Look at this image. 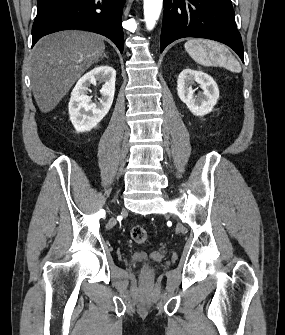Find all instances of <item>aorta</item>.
I'll return each instance as SVG.
<instances>
[{
	"mask_svg": "<svg viewBox=\"0 0 285 335\" xmlns=\"http://www.w3.org/2000/svg\"><path fill=\"white\" fill-rule=\"evenodd\" d=\"M163 0H144V20L147 30H153L162 10Z\"/></svg>",
	"mask_w": 285,
	"mask_h": 335,
	"instance_id": "obj_1",
	"label": "aorta"
}]
</instances>
